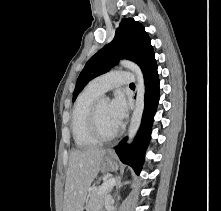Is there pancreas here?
Instances as JSON below:
<instances>
[{
  "instance_id": "cf45deb5",
  "label": "pancreas",
  "mask_w": 221,
  "mask_h": 211,
  "mask_svg": "<svg viewBox=\"0 0 221 211\" xmlns=\"http://www.w3.org/2000/svg\"><path fill=\"white\" fill-rule=\"evenodd\" d=\"M112 190V187L108 188V190L99 194V188H94L87 199L86 209L87 211H102V207L104 204L105 197Z\"/></svg>"
}]
</instances>
